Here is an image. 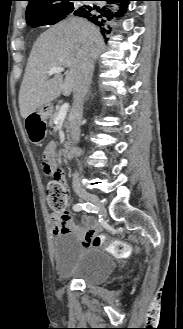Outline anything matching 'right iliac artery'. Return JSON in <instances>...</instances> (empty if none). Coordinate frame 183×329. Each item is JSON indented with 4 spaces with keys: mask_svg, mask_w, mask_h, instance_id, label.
<instances>
[{
    "mask_svg": "<svg viewBox=\"0 0 183 329\" xmlns=\"http://www.w3.org/2000/svg\"><path fill=\"white\" fill-rule=\"evenodd\" d=\"M74 211L85 210L86 212L97 213V207H95L92 203H78L73 206Z\"/></svg>",
    "mask_w": 183,
    "mask_h": 329,
    "instance_id": "obj_1",
    "label": "right iliac artery"
}]
</instances>
